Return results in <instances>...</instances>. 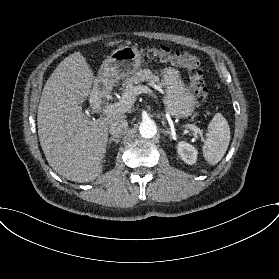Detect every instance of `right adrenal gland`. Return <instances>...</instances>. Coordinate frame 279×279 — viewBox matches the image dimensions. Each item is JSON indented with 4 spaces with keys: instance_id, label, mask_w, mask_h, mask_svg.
<instances>
[{
    "instance_id": "obj_1",
    "label": "right adrenal gland",
    "mask_w": 279,
    "mask_h": 279,
    "mask_svg": "<svg viewBox=\"0 0 279 279\" xmlns=\"http://www.w3.org/2000/svg\"><path fill=\"white\" fill-rule=\"evenodd\" d=\"M121 140H122V138H111L110 140H109V142H108V148H110L111 147V145H112V143L114 142V143H116V144H118V143H120L121 142Z\"/></svg>"
}]
</instances>
